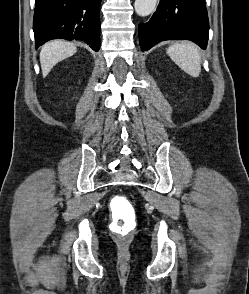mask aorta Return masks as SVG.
Listing matches in <instances>:
<instances>
[{
	"label": "aorta",
	"instance_id": "1",
	"mask_svg": "<svg viewBox=\"0 0 249 294\" xmlns=\"http://www.w3.org/2000/svg\"><path fill=\"white\" fill-rule=\"evenodd\" d=\"M156 3L157 0H135V12L141 17L148 16L154 11Z\"/></svg>",
	"mask_w": 249,
	"mask_h": 294
}]
</instances>
